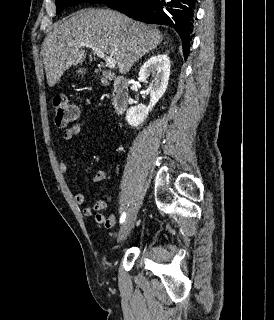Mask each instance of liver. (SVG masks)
Masks as SVG:
<instances>
[{
    "label": "liver",
    "mask_w": 274,
    "mask_h": 320,
    "mask_svg": "<svg viewBox=\"0 0 274 320\" xmlns=\"http://www.w3.org/2000/svg\"><path fill=\"white\" fill-rule=\"evenodd\" d=\"M82 42L95 44L104 54L113 56L120 74H128L139 58L162 44L163 34L155 26L135 22L114 10L75 12L54 24L43 42L41 54L49 88L71 66L85 62L87 52L79 46Z\"/></svg>",
    "instance_id": "liver-1"
}]
</instances>
